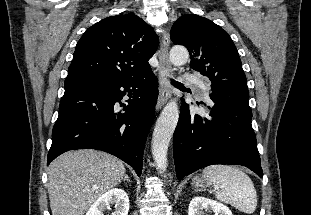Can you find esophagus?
I'll return each mask as SVG.
<instances>
[{"label":"esophagus","mask_w":311,"mask_h":215,"mask_svg":"<svg viewBox=\"0 0 311 215\" xmlns=\"http://www.w3.org/2000/svg\"><path fill=\"white\" fill-rule=\"evenodd\" d=\"M170 46V37L167 32H164L161 39L159 49V96L156 104V109L160 110L166 103L171 93V85L168 77L172 74V67L169 61L168 52Z\"/></svg>","instance_id":"1"}]
</instances>
